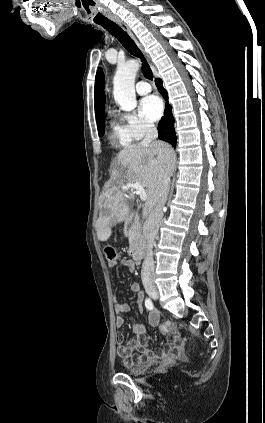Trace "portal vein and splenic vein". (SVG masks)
Instances as JSON below:
<instances>
[{
  "instance_id": "18ae733b",
  "label": "portal vein and splenic vein",
  "mask_w": 265,
  "mask_h": 423,
  "mask_svg": "<svg viewBox=\"0 0 265 423\" xmlns=\"http://www.w3.org/2000/svg\"><path fill=\"white\" fill-rule=\"evenodd\" d=\"M123 189H134L136 191V194L140 196V199L142 201H145L147 199L146 191L139 183H127L123 186Z\"/></svg>"
}]
</instances>
